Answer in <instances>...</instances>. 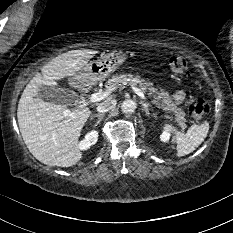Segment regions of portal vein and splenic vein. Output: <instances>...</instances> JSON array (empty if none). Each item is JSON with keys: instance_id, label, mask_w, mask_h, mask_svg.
<instances>
[{"instance_id": "1", "label": "portal vein and splenic vein", "mask_w": 233, "mask_h": 233, "mask_svg": "<svg viewBox=\"0 0 233 233\" xmlns=\"http://www.w3.org/2000/svg\"><path fill=\"white\" fill-rule=\"evenodd\" d=\"M130 86L139 97L147 101V98L145 97L144 93L139 88L135 87L134 85H130ZM115 89H116L115 87H111V88L106 89L105 91L94 93L89 97V102L91 103L98 102L106 98L108 95H110ZM64 114L69 115V111L67 110Z\"/></svg>"}]
</instances>
